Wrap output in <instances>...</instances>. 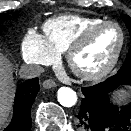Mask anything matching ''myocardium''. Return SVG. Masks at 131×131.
I'll use <instances>...</instances> for the list:
<instances>
[{"label": "myocardium", "mask_w": 131, "mask_h": 131, "mask_svg": "<svg viewBox=\"0 0 131 131\" xmlns=\"http://www.w3.org/2000/svg\"><path fill=\"white\" fill-rule=\"evenodd\" d=\"M115 26L118 28L120 32V42L119 45L111 58V60L102 68L95 70V71H83L76 67L74 63V59L76 54L89 42L91 37L100 29L106 26ZM126 42V34L123 29V27L116 21H102L97 24H94L84 30L75 40L74 42L69 46V48L66 51V59L69 67L74 72L76 76L83 80L87 81H97L104 77H106L108 74H110L116 65L118 64L120 57L122 55L123 49L125 47Z\"/></svg>", "instance_id": "myocardium-1"}]
</instances>
